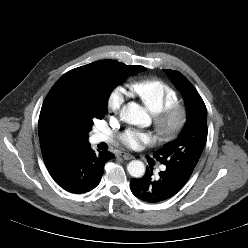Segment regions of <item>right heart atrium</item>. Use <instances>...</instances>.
Listing matches in <instances>:
<instances>
[{
  "mask_svg": "<svg viewBox=\"0 0 248 248\" xmlns=\"http://www.w3.org/2000/svg\"><path fill=\"white\" fill-rule=\"evenodd\" d=\"M126 91L122 86H115L107 97V108L112 113H119L126 100Z\"/></svg>",
  "mask_w": 248,
  "mask_h": 248,
  "instance_id": "obj_1",
  "label": "right heart atrium"
}]
</instances>
